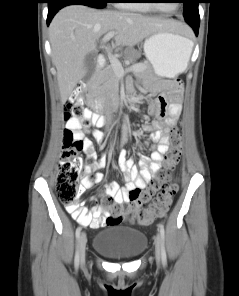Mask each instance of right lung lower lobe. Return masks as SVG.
I'll use <instances>...</instances> for the list:
<instances>
[{
  "mask_svg": "<svg viewBox=\"0 0 239 296\" xmlns=\"http://www.w3.org/2000/svg\"><path fill=\"white\" fill-rule=\"evenodd\" d=\"M72 2L69 0H51L48 1V17H47V25H49L50 21L57 13L58 10L63 8L64 6L70 5Z\"/></svg>",
  "mask_w": 239,
  "mask_h": 296,
  "instance_id": "1",
  "label": "right lung lower lobe"
}]
</instances>
